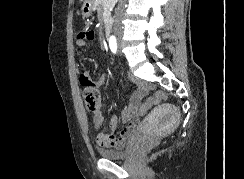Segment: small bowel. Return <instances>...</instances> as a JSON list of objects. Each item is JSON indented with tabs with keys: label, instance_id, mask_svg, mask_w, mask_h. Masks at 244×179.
I'll return each mask as SVG.
<instances>
[{
	"label": "small bowel",
	"instance_id": "small-bowel-1",
	"mask_svg": "<svg viewBox=\"0 0 244 179\" xmlns=\"http://www.w3.org/2000/svg\"><path fill=\"white\" fill-rule=\"evenodd\" d=\"M84 35V39H83ZM95 38V33L91 30H83L78 33L76 44L80 48H86L90 41ZM109 74H103L98 80H93L92 71L85 70L80 74V82L85 86H100L104 84ZM140 94L135 92L131 95L128 104L121 111V120L125 123V128L118 130L119 120L117 117H112L110 121L109 132H99L96 135V143L103 147H121L125 144L127 137L134 131L138 125L137 110H145L143 106L140 107ZM105 123L104 116L101 113L93 115V124L95 129L99 130Z\"/></svg>",
	"mask_w": 244,
	"mask_h": 179
}]
</instances>
